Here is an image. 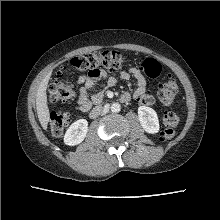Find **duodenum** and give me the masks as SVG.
Returning <instances> with one entry per match:
<instances>
[{"label": "duodenum", "mask_w": 220, "mask_h": 220, "mask_svg": "<svg viewBox=\"0 0 220 220\" xmlns=\"http://www.w3.org/2000/svg\"><path fill=\"white\" fill-rule=\"evenodd\" d=\"M130 99L131 98L128 95L121 96V101H123V102H128V101H130ZM102 110H103V106H97V107L93 108L89 114L90 118H92V119L96 118L97 116L100 115Z\"/></svg>", "instance_id": "obj_1"}]
</instances>
